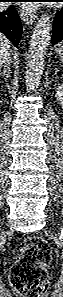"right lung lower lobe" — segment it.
<instances>
[{"mask_svg": "<svg viewBox=\"0 0 63 297\" xmlns=\"http://www.w3.org/2000/svg\"><path fill=\"white\" fill-rule=\"evenodd\" d=\"M0 32L13 44L18 46L21 39L22 26L17 11L10 6L6 11L0 12Z\"/></svg>", "mask_w": 63, "mask_h": 297, "instance_id": "obj_1", "label": "right lung lower lobe"}]
</instances>
